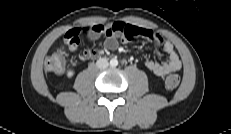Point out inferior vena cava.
<instances>
[{
    "label": "inferior vena cava",
    "mask_w": 231,
    "mask_h": 134,
    "mask_svg": "<svg viewBox=\"0 0 231 134\" xmlns=\"http://www.w3.org/2000/svg\"><path fill=\"white\" fill-rule=\"evenodd\" d=\"M109 65L108 63V60L106 58H99L96 62V66L99 68V69H104V68H107Z\"/></svg>",
    "instance_id": "inferior-vena-cava-1"
}]
</instances>
